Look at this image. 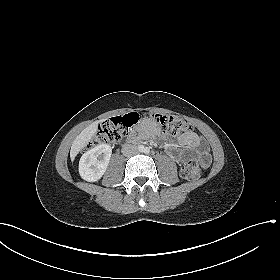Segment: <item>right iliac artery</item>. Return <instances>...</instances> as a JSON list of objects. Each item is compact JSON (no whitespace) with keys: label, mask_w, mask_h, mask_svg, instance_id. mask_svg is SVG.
Masks as SVG:
<instances>
[{"label":"right iliac artery","mask_w":280,"mask_h":280,"mask_svg":"<svg viewBox=\"0 0 280 280\" xmlns=\"http://www.w3.org/2000/svg\"><path fill=\"white\" fill-rule=\"evenodd\" d=\"M138 149H139V151H143V150H144V147H143L142 145H140V146L138 147Z\"/></svg>","instance_id":"1"}]
</instances>
